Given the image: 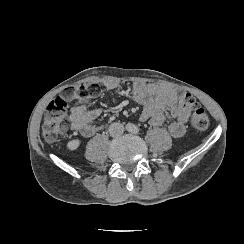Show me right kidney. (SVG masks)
<instances>
[{
	"instance_id": "ca27d5eb",
	"label": "right kidney",
	"mask_w": 244,
	"mask_h": 244,
	"mask_svg": "<svg viewBox=\"0 0 244 244\" xmlns=\"http://www.w3.org/2000/svg\"><path fill=\"white\" fill-rule=\"evenodd\" d=\"M79 145H80V140L79 139H75V140H71V141L68 142L67 148L69 150H75V149H77L79 147Z\"/></svg>"
}]
</instances>
